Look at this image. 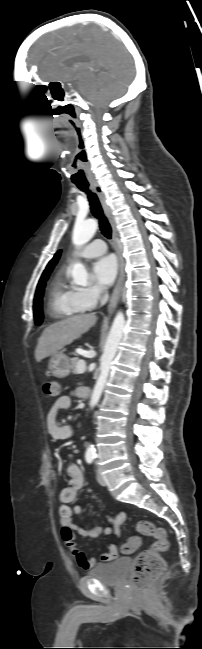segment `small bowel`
<instances>
[{"mask_svg":"<svg viewBox=\"0 0 202 649\" xmlns=\"http://www.w3.org/2000/svg\"><path fill=\"white\" fill-rule=\"evenodd\" d=\"M83 388H77L73 391L72 395L76 397H84ZM71 396L64 395L59 397L50 407L46 416V429L48 435L53 440H64L70 438L75 429L71 424L61 425L58 423V413L61 410H67L71 405ZM68 482L67 486L63 488L59 494V499L63 503L59 510L60 524L62 526V538L66 545L72 550L73 555L80 567L83 569L92 568L97 563L95 556H88L77 547V535L96 538L104 533L107 536L120 535V527L126 519L124 512L118 513L116 516L109 517L108 524L103 528L95 526L85 528L73 523L72 517L74 514H82L85 506L83 504H76L73 508L69 504L73 503L78 495V492L84 485V474L80 467L72 463L67 467ZM118 557V548L114 542L109 545V551L99 555V560L108 562Z\"/></svg>","mask_w":202,"mask_h":649,"instance_id":"obj_1","label":"small bowel"}]
</instances>
